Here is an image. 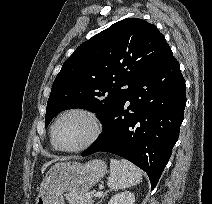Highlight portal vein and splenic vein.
<instances>
[{
  "mask_svg": "<svg viewBox=\"0 0 212 204\" xmlns=\"http://www.w3.org/2000/svg\"><path fill=\"white\" fill-rule=\"evenodd\" d=\"M103 192L102 191H98L94 194L95 197H100L102 196Z\"/></svg>",
  "mask_w": 212,
  "mask_h": 204,
  "instance_id": "18ae733b",
  "label": "portal vein and splenic vein"
}]
</instances>
